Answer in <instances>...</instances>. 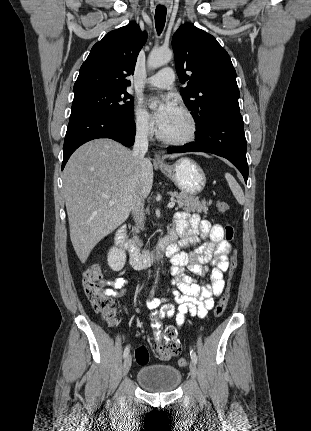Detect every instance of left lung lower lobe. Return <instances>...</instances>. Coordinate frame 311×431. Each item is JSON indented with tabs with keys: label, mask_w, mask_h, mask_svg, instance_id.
<instances>
[{
	"label": "left lung lower lobe",
	"mask_w": 311,
	"mask_h": 431,
	"mask_svg": "<svg viewBox=\"0 0 311 431\" xmlns=\"http://www.w3.org/2000/svg\"><path fill=\"white\" fill-rule=\"evenodd\" d=\"M169 153L209 152L228 159L248 178L246 138L240 112H226L211 119L196 131L194 142L179 147H170Z\"/></svg>",
	"instance_id": "obj_1"
}]
</instances>
